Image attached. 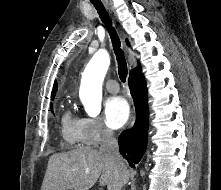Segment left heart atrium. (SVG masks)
Here are the masks:
<instances>
[{
  "mask_svg": "<svg viewBox=\"0 0 221 190\" xmlns=\"http://www.w3.org/2000/svg\"><path fill=\"white\" fill-rule=\"evenodd\" d=\"M106 124L113 129L122 127L129 119L130 108L127 101L119 96L110 97L104 109Z\"/></svg>",
  "mask_w": 221,
  "mask_h": 190,
  "instance_id": "1",
  "label": "left heart atrium"
}]
</instances>
